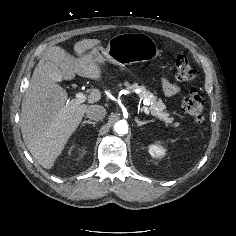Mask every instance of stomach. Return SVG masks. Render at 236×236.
I'll return each mask as SVG.
<instances>
[{
	"mask_svg": "<svg viewBox=\"0 0 236 236\" xmlns=\"http://www.w3.org/2000/svg\"><path fill=\"white\" fill-rule=\"evenodd\" d=\"M91 52L101 63L108 61L119 66L154 60L160 54L156 42L144 33L117 34L107 48L98 46Z\"/></svg>",
	"mask_w": 236,
	"mask_h": 236,
	"instance_id": "obj_1",
	"label": "stomach"
}]
</instances>
